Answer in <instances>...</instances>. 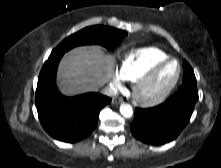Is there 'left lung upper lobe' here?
<instances>
[{
  "label": "left lung upper lobe",
  "instance_id": "obj_1",
  "mask_svg": "<svg viewBox=\"0 0 221 168\" xmlns=\"http://www.w3.org/2000/svg\"><path fill=\"white\" fill-rule=\"evenodd\" d=\"M189 81L196 82V78H195L193 69L188 64V62L186 60H184V62H183V81H182V83L189 82Z\"/></svg>",
  "mask_w": 221,
  "mask_h": 168
}]
</instances>
